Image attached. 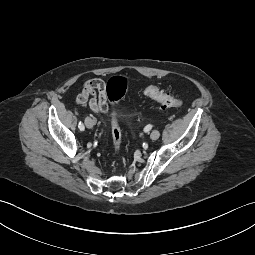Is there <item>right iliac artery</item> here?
<instances>
[{
	"label": "right iliac artery",
	"instance_id": "1",
	"mask_svg": "<svg viewBox=\"0 0 255 255\" xmlns=\"http://www.w3.org/2000/svg\"><path fill=\"white\" fill-rule=\"evenodd\" d=\"M78 127L81 131H84L85 129L84 124L82 122H79Z\"/></svg>",
	"mask_w": 255,
	"mask_h": 255
}]
</instances>
